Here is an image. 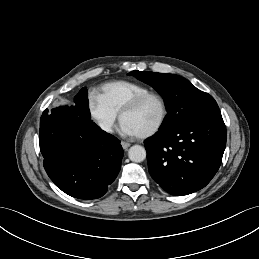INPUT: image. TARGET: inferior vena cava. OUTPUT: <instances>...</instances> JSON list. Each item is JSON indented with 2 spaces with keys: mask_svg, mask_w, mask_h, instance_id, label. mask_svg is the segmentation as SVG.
Wrapping results in <instances>:
<instances>
[{
  "mask_svg": "<svg viewBox=\"0 0 259 259\" xmlns=\"http://www.w3.org/2000/svg\"><path fill=\"white\" fill-rule=\"evenodd\" d=\"M99 126L106 132H112L111 125L107 122H100Z\"/></svg>",
  "mask_w": 259,
  "mask_h": 259,
  "instance_id": "602c4592",
  "label": "inferior vena cava"
}]
</instances>
